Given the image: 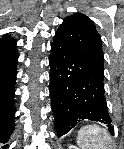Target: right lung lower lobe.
Here are the masks:
<instances>
[{"label":"right lung lower lobe","instance_id":"obj_1","mask_svg":"<svg viewBox=\"0 0 124 149\" xmlns=\"http://www.w3.org/2000/svg\"><path fill=\"white\" fill-rule=\"evenodd\" d=\"M16 48L15 39H0V143L8 141L14 128L13 101L18 60Z\"/></svg>","mask_w":124,"mask_h":149}]
</instances>
